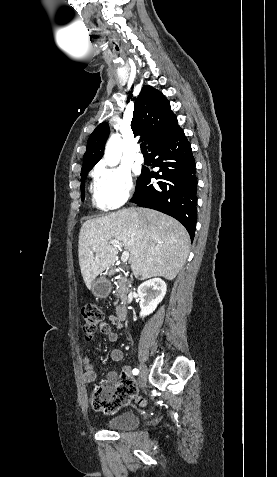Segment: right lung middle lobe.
Returning a JSON list of instances; mask_svg holds the SVG:
<instances>
[{
	"mask_svg": "<svg viewBox=\"0 0 277 477\" xmlns=\"http://www.w3.org/2000/svg\"><path fill=\"white\" fill-rule=\"evenodd\" d=\"M91 169H92V168L85 169V170H81V198H82V200L84 199V196H85V192H84L85 184H84V181H85V178H86L88 172H89Z\"/></svg>",
	"mask_w": 277,
	"mask_h": 477,
	"instance_id": "obj_1",
	"label": "right lung middle lobe"
}]
</instances>
